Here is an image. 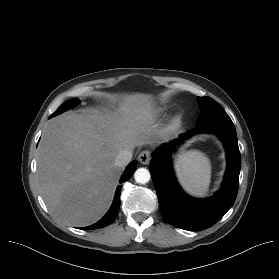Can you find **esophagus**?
<instances>
[{"instance_id":"1","label":"esophagus","mask_w":279,"mask_h":279,"mask_svg":"<svg viewBox=\"0 0 279 279\" xmlns=\"http://www.w3.org/2000/svg\"><path fill=\"white\" fill-rule=\"evenodd\" d=\"M138 160L140 163L147 165L150 163L151 160V153L149 150H144L138 155Z\"/></svg>"}]
</instances>
